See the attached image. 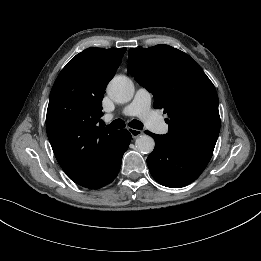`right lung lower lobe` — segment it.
I'll list each match as a JSON object with an SVG mask.
<instances>
[{
  "label": "right lung lower lobe",
  "mask_w": 261,
  "mask_h": 261,
  "mask_svg": "<svg viewBox=\"0 0 261 261\" xmlns=\"http://www.w3.org/2000/svg\"><path fill=\"white\" fill-rule=\"evenodd\" d=\"M130 140L131 134L129 131L126 129L121 130L99 168L90 176L77 182V184L90 189H98L111 183L120 170L122 157L128 149Z\"/></svg>",
  "instance_id": "1"
}]
</instances>
